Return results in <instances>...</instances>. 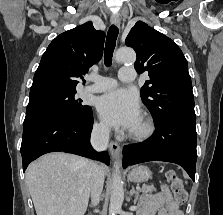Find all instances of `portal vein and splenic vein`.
Segmentation results:
<instances>
[{
	"instance_id": "18ae733b",
	"label": "portal vein and splenic vein",
	"mask_w": 223,
	"mask_h": 215,
	"mask_svg": "<svg viewBox=\"0 0 223 215\" xmlns=\"http://www.w3.org/2000/svg\"><path fill=\"white\" fill-rule=\"evenodd\" d=\"M134 188H135L136 190H137V189H141V186H137V185H136ZM70 199H75V197H70Z\"/></svg>"
}]
</instances>
